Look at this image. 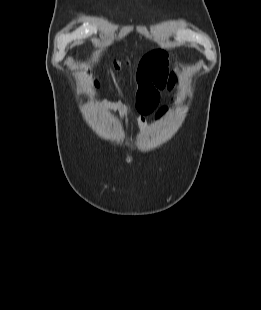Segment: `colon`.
Returning <instances> with one entry per match:
<instances>
[{
	"mask_svg": "<svg viewBox=\"0 0 261 310\" xmlns=\"http://www.w3.org/2000/svg\"><path fill=\"white\" fill-rule=\"evenodd\" d=\"M115 67L117 68V69H120L121 67H122V63L121 62H115ZM96 84H98V82H96Z\"/></svg>",
	"mask_w": 261,
	"mask_h": 310,
	"instance_id": "5ec220e1",
	"label": "colon"
}]
</instances>
